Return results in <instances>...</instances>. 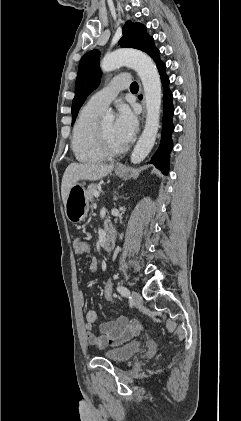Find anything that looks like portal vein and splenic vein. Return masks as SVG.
<instances>
[{"mask_svg": "<svg viewBox=\"0 0 241 421\" xmlns=\"http://www.w3.org/2000/svg\"><path fill=\"white\" fill-rule=\"evenodd\" d=\"M94 196H95L96 198H98V197H99V192H98V191H95V192H94Z\"/></svg>", "mask_w": 241, "mask_h": 421, "instance_id": "obj_1", "label": "portal vein and splenic vein"}]
</instances>
